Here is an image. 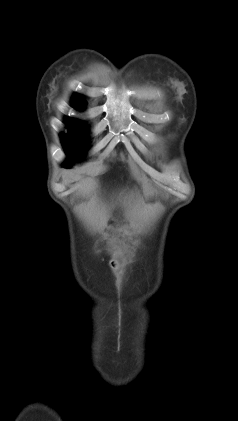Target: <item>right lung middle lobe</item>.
<instances>
[{
	"label": "right lung middle lobe",
	"instance_id": "1",
	"mask_svg": "<svg viewBox=\"0 0 238 421\" xmlns=\"http://www.w3.org/2000/svg\"><path fill=\"white\" fill-rule=\"evenodd\" d=\"M74 106L79 110L84 108V105L81 104H74ZM66 124L70 132L66 135H61V139L64 149L70 157L66 161V166H69L81 158L80 156L84 153L87 146V140L85 138L86 127L81 121L70 118L66 119Z\"/></svg>",
	"mask_w": 238,
	"mask_h": 421
}]
</instances>
